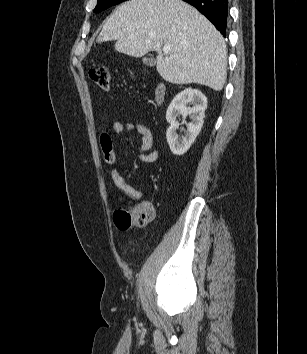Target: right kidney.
<instances>
[{
    "mask_svg": "<svg viewBox=\"0 0 307 354\" xmlns=\"http://www.w3.org/2000/svg\"><path fill=\"white\" fill-rule=\"evenodd\" d=\"M190 104L192 107L188 106ZM206 109L207 98L198 89L186 88L173 98L166 112V120L170 124L166 138L173 154L183 155L191 147L201 131ZM180 115L183 117L189 115L191 118L182 138L177 134L179 123L176 119Z\"/></svg>",
    "mask_w": 307,
    "mask_h": 354,
    "instance_id": "right-kidney-1",
    "label": "right kidney"
}]
</instances>
